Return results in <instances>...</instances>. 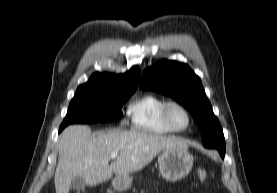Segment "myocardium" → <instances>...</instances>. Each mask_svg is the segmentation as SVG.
Listing matches in <instances>:
<instances>
[{"instance_id":"1","label":"myocardium","mask_w":277,"mask_h":193,"mask_svg":"<svg viewBox=\"0 0 277 193\" xmlns=\"http://www.w3.org/2000/svg\"><path fill=\"white\" fill-rule=\"evenodd\" d=\"M172 107H178L185 113V115L187 117V125L184 128H176L172 124V122L170 120V116H169V112ZM162 120H163L164 125L171 132H174V133L185 132L190 128V126L192 124V116H191L190 111L188 110V108L185 105H183L182 103H180L178 101H167L166 102V104L164 105L163 110H162Z\"/></svg>"}]
</instances>
